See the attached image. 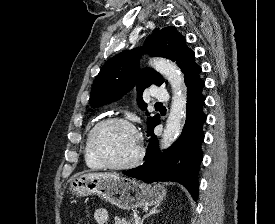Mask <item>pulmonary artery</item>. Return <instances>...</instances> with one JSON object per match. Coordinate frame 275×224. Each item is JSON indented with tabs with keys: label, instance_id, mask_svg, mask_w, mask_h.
I'll list each match as a JSON object with an SVG mask.
<instances>
[{
	"label": "pulmonary artery",
	"instance_id": "pulmonary-artery-1",
	"mask_svg": "<svg viewBox=\"0 0 275 224\" xmlns=\"http://www.w3.org/2000/svg\"><path fill=\"white\" fill-rule=\"evenodd\" d=\"M152 96L155 100L157 101H167L169 98V95L167 93V91L163 88L160 87H155L152 91Z\"/></svg>",
	"mask_w": 275,
	"mask_h": 224
}]
</instances>
